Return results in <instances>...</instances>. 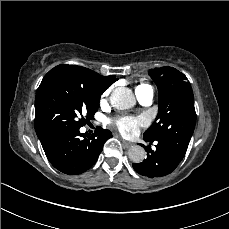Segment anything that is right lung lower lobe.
Listing matches in <instances>:
<instances>
[{
	"label": "right lung lower lobe",
	"mask_w": 229,
	"mask_h": 229,
	"mask_svg": "<svg viewBox=\"0 0 229 229\" xmlns=\"http://www.w3.org/2000/svg\"><path fill=\"white\" fill-rule=\"evenodd\" d=\"M112 137L107 129L98 127L94 134H82L78 129L68 130L43 147L49 162L60 172L77 175L92 167L103 149V144Z\"/></svg>",
	"instance_id": "1"
}]
</instances>
